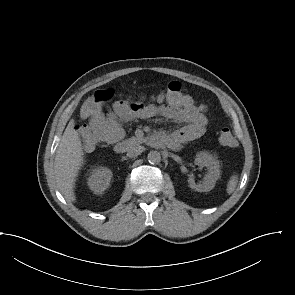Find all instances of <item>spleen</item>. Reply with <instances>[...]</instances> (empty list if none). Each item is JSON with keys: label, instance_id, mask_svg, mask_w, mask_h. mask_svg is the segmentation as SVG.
<instances>
[{"label": "spleen", "instance_id": "obj_1", "mask_svg": "<svg viewBox=\"0 0 295 295\" xmlns=\"http://www.w3.org/2000/svg\"><path fill=\"white\" fill-rule=\"evenodd\" d=\"M238 179H239L238 174H233L230 177V179L227 183V189H226L228 194H232L235 191L237 184H238Z\"/></svg>", "mask_w": 295, "mask_h": 295}]
</instances>
